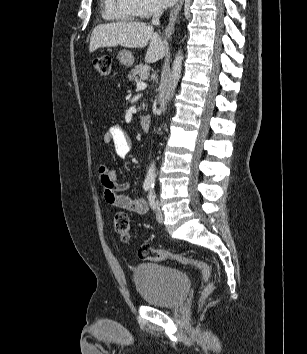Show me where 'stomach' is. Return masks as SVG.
I'll use <instances>...</instances> for the list:
<instances>
[{"instance_id": "stomach-1", "label": "stomach", "mask_w": 307, "mask_h": 354, "mask_svg": "<svg viewBox=\"0 0 307 354\" xmlns=\"http://www.w3.org/2000/svg\"><path fill=\"white\" fill-rule=\"evenodd\" d=\"M117 59L122 65L126 67H130L134 63L133 54L127 50H121L117 55Z\"/></svg>"}]
</instances>
